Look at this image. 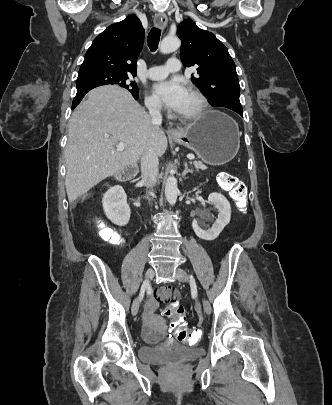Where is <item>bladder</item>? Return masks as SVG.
<instances>
[{"label":"bladder","mask_w":332,"mask_h":405,"mask_svg":"<svg viewBox=\"0 0 332 405\" xmlns=\"http://www.w3.org/2000/svg\"><path fill=\"white\" fill-rule=\"evenodd\" d=\"M151 334H144L145 345L138 350L139 359L143 362L164 364L170 362L191 361L202 354L196 346H184L177 343L152 340Z\"/></svg>","instance_id":"31cf9c89"}]
</instances>
